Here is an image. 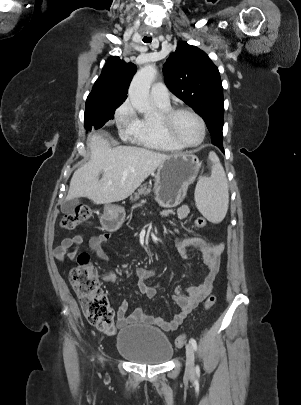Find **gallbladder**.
I'll list each match as a JSON object with an SVG mask.
<instances>
[{"mask_svg": "<svg viewBox=\"0 0 301 405\" xmlns=\"http://www.w3.org/2000/svg\"><path fill=\"white\" fill-rule=\"evenodd\" d=\"M79 204H80V201L78 198H73V199L64 201L61 204V212L65 213V214L72 213Z\"/></svg>", "mask_w": 301, "mask_h": 405, "instance_id": "bac80fb5", "label": "gallbladder"}]
</instances>
